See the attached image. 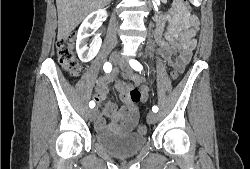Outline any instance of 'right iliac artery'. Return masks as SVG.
<instances>
[{
  "label": "right iliac artery",
  "instance_id": "1",
  "mask_svg": "<svg viewBox=\"0 0 250 169\" xmlns=\"http://www.w3.org/2000/svg\"><path fill=\"white\" fill-rule=\"evenodd\" d=\"M103 69H104V71H105L106 73H110L111 70H112V65H111V63L106 62V63L104 64V66H103ZM89 107H90V108H94V107H95V102H94V101H90Z\"/></svg>",
  "mask_w": 250,
  "mask_h": 169
}]
</instances>
